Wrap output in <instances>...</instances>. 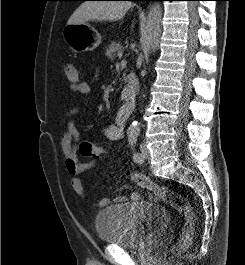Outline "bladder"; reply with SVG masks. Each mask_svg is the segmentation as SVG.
<instances>
[{
    "mask_svg": "<svg viewBox=\"0 0 245 265\" xmlns=\"http://www.w3.org/2000/svg\"><path fill=\"white\" fill-rule=\"evenodd\" d=\"M170 218L165 209L150 202L110 205L94 220L99 238L107 244L140 248L161 235Z\"/></svg>",
    "mask_w": 245,
    "mask_h": 265,
    "instance_id": "obj_1",
    "label": "bladder"
}]
</instances>
